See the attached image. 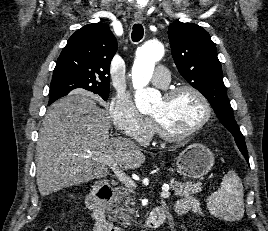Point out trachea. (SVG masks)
<instances>
[{
    "label": "trachea",
    "instance_id": "trachea-1",
    "mask_svg": "<svg viewBox=\"0 0 268 231\" xmlns=\"http://www.w3.org/2000/svg\"><path fill=\"white\" fill-rule=\"evenodd\" d=\"M144 35V29L143 26L140 23L133 25V31L131 34V38L134 42H138L143 38Z\"/></svg>",
    "mask_w": 268,
    "mask_h": 231
}]
</instances>
